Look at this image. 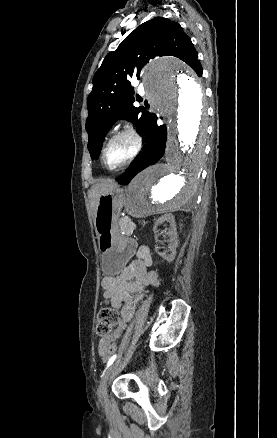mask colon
I'll return each mask as SVG.
<instances>
[{
    "mask_svg": "<svg viewBox=\"0 0 277 438\" xmlns=\"http://www.w3.org/2000/svg\"><path fill=\"white\" fill-rule=\"evenodd\" d=\"M118 313L116 310L104 307L102 308L96 318L95 331L99 337L105 338L112 334L116 325Z\"/></svg>",
    "mask_w": 277,
    "mask_h": 438,
    "instance_id": "1",
    "label": "colon"
}]
</instances>
